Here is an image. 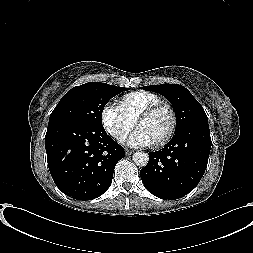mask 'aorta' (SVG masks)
<instances>
[{
	"mask_svg": "<svg viewBox=\"0 0 253 253\" xmlns=\"http://www.w3.org/2000/svg\"><path fill=\"white\" fill-rule=\"evenodd\" d=\"M132 158L134 163L140 167L146 166L149 160L148 154L144 152H135Z\"/></svg>",
	"mask_w": 253,
	"mask_h": 253,
	"instance_id": "1",
	"label": "aorta"
}]
</instances>
